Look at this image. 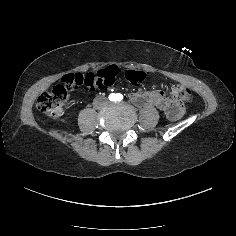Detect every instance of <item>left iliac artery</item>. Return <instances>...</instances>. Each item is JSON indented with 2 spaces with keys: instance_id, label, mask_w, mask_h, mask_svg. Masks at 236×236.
Here are the masks:
<instances>
[{
  "instance_id": "1",
  "label": "left iliac artery",
  "mask_w": 236,
  "mask_h": 236,
  "mask_svg": "<svg viewBox=\"0 0 236 236\" xmlns=\"http://www.w3.org/2000/svg\"><path fill=\"white\" fill-rule=\"evenodd\" d=\"M123 99V95L120 93L116 94V101H121Z\"/></svg>"
}]
</instances>
